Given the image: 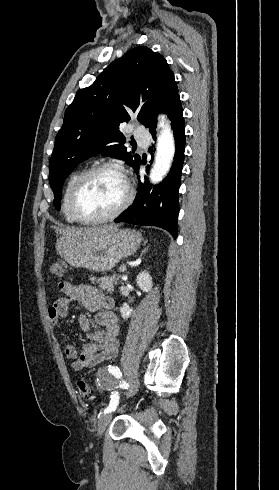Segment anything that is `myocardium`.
<instances>
[{"label":"myocardium","mask_w":279,"mask_h":490,"mask_svg":"<svg viewBox=\"0 0 279 490\" xmlns=\"http://www.w3.org/2000/svg\"><path fill=\"white\" fill-rule=\"evenodd\" d=\"M106 171L114 172L121 177L125 187V197L114 211L100 217L85 218L81 215L79 210L80 195L91 177H93L98 173L106 172ZM133 196H134L133 188L131 186L126 169L118 164L102 163L87 169L78 178L72 192L71 209L77 221L82 224L103 223L119 217L130 205V203L133 200Z\"/></svg>","instance_id":"obj_1"}]
</instances>
